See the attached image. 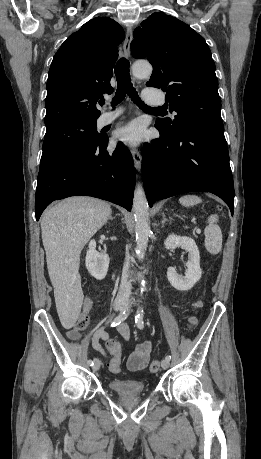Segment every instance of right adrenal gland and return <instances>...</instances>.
Returning <instances> with one entry per match:
<instances>
[{"instance_id": "right-adrenal-gland-1", "label": "right adrenal gland", "mask_w": 261, "mask_h": 459, "mask_svg": "<svg viewBox=\"0 0 261 459\" xmlns=\"http://www.w3.org/2000/svg\"><path fill=\"white\" fill-rule=\"evenodd\" d=\"M115 217H112L111 215L109 216V220H114Z\"/></svg>"}]
</instances>
